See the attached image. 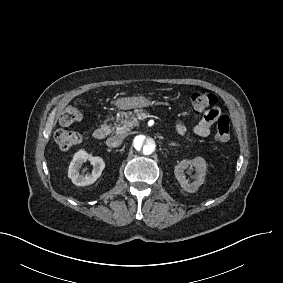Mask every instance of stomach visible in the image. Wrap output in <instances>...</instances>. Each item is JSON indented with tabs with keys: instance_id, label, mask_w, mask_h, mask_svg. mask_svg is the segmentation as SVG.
<instances>
[{
	"instance_id": "0dacf381",
	"label": "stomach",
	"mask_w": 283,
	"mask_h": 283,
	"mask_svg": "<svg viewBox=\"0 0 283 283\" xmlns=\"http://www.w3.org/2000/svg\"><path fill=\"white\" fill-rule=\"evenodd\" d=\"M114 104L119 109L128 110L132 108L138 107H146L151 104L149 99L145 98L144 96L139 97H125L117 99Z\"/></svg>"
}]
</instances>
